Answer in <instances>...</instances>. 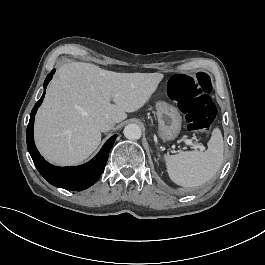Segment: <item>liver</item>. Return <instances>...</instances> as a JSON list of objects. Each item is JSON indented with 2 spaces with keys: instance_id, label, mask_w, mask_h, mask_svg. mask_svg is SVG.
I'll return each mask as SVG.
<instances>
[{
  "instance_id": "6515ba94",
  "label": "liver",
  "mask_w": 265,
  "mask_h": 265,
  "mask_svg": "<svg viewBox=\"0 0 265 265\" xmlns=\"http://www.w3.org/2000/svg\"><path fill=\"white\" fill-rule=\"evenodd\" d=\"M163 78L160 73L121 74L88 63L62 65L36 116L41 154L60 165L83 161L100 144L97 119L125 120L126 113L150 102Z\"/></svg>"
}]
</instances>
